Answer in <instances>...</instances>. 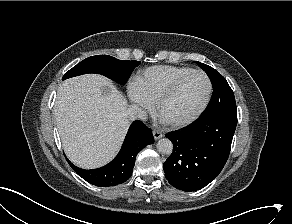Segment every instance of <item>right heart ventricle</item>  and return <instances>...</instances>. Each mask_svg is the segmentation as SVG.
Listing matches in <instances>:
<instances>
[{
    "label": "right heart ventricle",
    "instance_id": "1",
    "mask_svg": "<svg viewBox=\"0 0 292 224\" xmlns=\"http://www.w3.org/2000/svg\"><path fill=\"white\" fill-rule=\"evenodd\" d=\"M195 71L186 66H153L141 71L135 79L136 86L151 101L158 97L183 75Z\"/></svg>",
    "mask_w": 292,
    "mask_h": 224
}]
</instances>
